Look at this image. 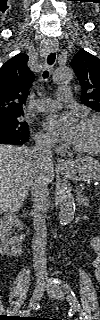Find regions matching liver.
Segmentation results:
<instances>
[{
    "label": "liver",
    "mask_w": 100,
    "mask_h": 320,
    "mask_svg": "<svg viewBox=\"0 0 100 320\" xmlns=\"http://www.w3.org/2000/svg\"><path fill=\"white\" fill-rule=\"evenodd\" d=\"M38 169L48 183L54 179L53 163L39 164L25 146H0V208L2 212L17 211L26 198L31 180Z\"/></svg>",
    "instance_id": "6515ba94"
}]
</instances>
